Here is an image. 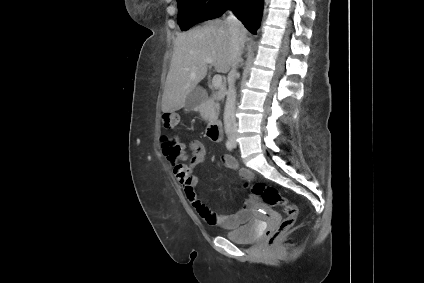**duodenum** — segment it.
<instances>
[{
	"mask_svg": "<svg viewBox=\"0 0 424 283\" xmlns=\"http://www.w3.org/2000/svg\"><path fill=\"white\" fill-rule=\"evenodd\" d=\"M222 123L217 119L208 121L207 135L211 140L220 141L222 139Z\"/></svg>",
	"mask_w": 424,
	"mask_h": 283,
	"instance_id": "obj_1",
	"label": "duodenum"
}]
</instances>
